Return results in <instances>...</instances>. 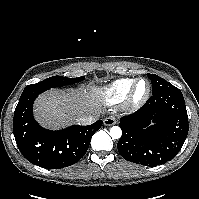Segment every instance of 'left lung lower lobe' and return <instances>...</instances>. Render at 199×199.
Here are the masks:
<instances>
[{
	"mask_svg": "<svg viewBox=\"0 0 199 199\" xmlns=\"http://www.w3.org/2000/svg\"><path fill=\"white\" fill-rule=\"evenodd\" d=\"M117 148L128 161L157 166L173 159L188 134V116L181 91L152 95L135 113L122 117Z\"/></svg>",
	"mask_w": 199,
	"mask_h": 199,
	"instance_id": "obj_1",
	"label": "left lung lower lobe"
}]
</instances>
